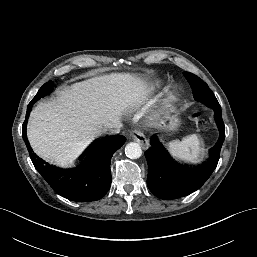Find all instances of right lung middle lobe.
<instances>
[{
	"instance_id": "obj_1",
	"label": "right lung middle lobe",
	"mask_w": 257,
	"mask_h": 257,
	"mask_svg": "<svg viewBox=\"0 0 257 257\" xmlns=\"http://www.w3.org/2000/svg\"><path fill=\"white\" fill-rule=\"evenodd\" d=\"M52 81L47 82L46 84H44L40 90L38 91V93L36 94V96L33 98V100L31 101V103H35L38 99H40L41 97H43L44 95L50 93L52 91Z\"/></svg>"
}]
</instances>
